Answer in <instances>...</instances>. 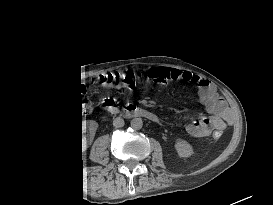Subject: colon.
Here are the masks:
<instances>
[{
  "instance_id": "5ec220e1",
  "label": "colon",
  "mask_w": 273,
  "mask_h": 205,
  "mask_svg": "<svg viewBox=\"0 0 273 205\" xmlns=\"http://www.w3.org/2000/svg\"><path fill=\"white\" fill-rule=\"evenodd\" d=\"M145 76L143 70H138L136 72H127L125 74H110V75H100L92 79V83L100 88H108L117 91H121L125 88L133 86L136 81L142 79ZM154 82H166L165 77L154 78ZM164 79V80H163ZM90 109L89 104L85 102H80L72 107L75 114L87 113ZM221 133L214 132V137L219 138Z\"/></svg>"
}]
</instances>
